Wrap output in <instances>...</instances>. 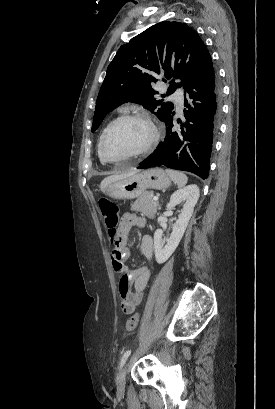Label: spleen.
Returning <instances> with one entry per match:
<instances>
[{"mask_svg":"<svg viewBox=\"0 0 275 409\" xmlns=\"http://www.w3.org/2000/svg\"><path fill=\"white\" fill-rule=\"evenodd\" d=\"M167 174H169L170 178H172L173 182H176L178 186H184L187 184L188 176L183 174V172H178V170H166Z\"/></svg>","mask_w":275,"mask_h":409,"instance_id":"spleen-1","label":"spleen"}]
</instances>
